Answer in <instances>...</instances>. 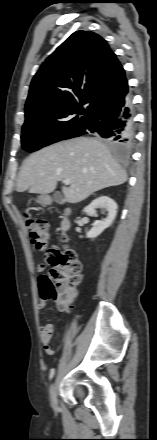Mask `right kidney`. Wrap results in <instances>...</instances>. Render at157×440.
<instances>
[{
	"instance_id": "1",
	"label": "right kidney",
	"mask_w": 157,
	"mask_h": 440,
	"mask_svg": "<svg viewBox=\"0 0 157 440\" xmlns=\"http://www.w3.org/2000/svg\"><path fill=\"white\" fill-rule=\"evenodd\" d=\"M97 208L105 209L108 214L107 217L100 221H95L93 227L86 234L87 238H95L99 236L106 228H108L114 221L117 214L116 202L108 196H101L93 200L87 207L83 209L89 215H94Z\"/></svg>"
}]
</instances>
